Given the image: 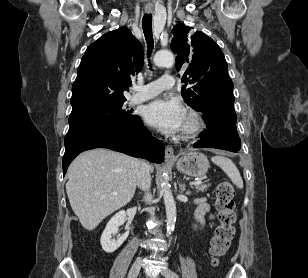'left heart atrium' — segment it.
<instances>
[{"mask_svg": "<svg viewBox=\"0 0 308 278\" xmlns=\"http://www.w3.org/2000/svg\"><path fill=\"white\" fill-rule=\"evenodd\" d=\"M146 121L163 132L174 133L182 129L186 112L174 98L157 99L144 111Z\"/></svg>", "mask_w": 308, "mask_h": 278, "instance_id": "39dd6f15", "label": "left heart atrium"}]
</instances>
